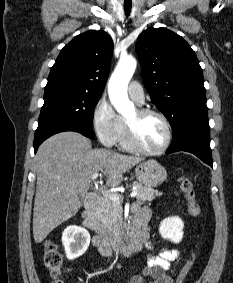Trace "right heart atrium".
Listing matches in <instances>:
<instances>
[{
    "label": "right heart atrium",
    "mask_w": 233,
    "mask_h": 283,
    "mask_svg": "<svg viewBox=\"0 0 233 283\" xmlns=\"http://www.w3.org/2000/svg\"><path fill=\"white\" fill-rule=\"evenodd\" d=\"M92 124L103 145L113 146L118 142L122 130V119L106 99L101 98L96 103L92 114Z\"/></svg>",
    "instance_id": "1"
}]
</instances>
